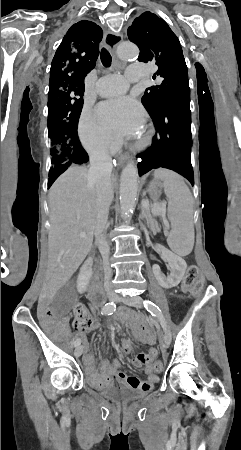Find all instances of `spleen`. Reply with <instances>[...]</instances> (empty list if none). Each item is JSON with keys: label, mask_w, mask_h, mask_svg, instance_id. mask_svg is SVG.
I'll return each mask as SVG.
<instances>
[{"label": "spleen", "mask_w": 241, "mask_h": 450, "mask_svg": "<svg viewBox=\"0 0 241 450\" xmlns=\"http://www.w3.org/2000/svg\"><path fill=\"white\" fill-rule=\"evenodd\" d=\"M155 180H163L164 192L169 198L168 218L172 230L167 244L178 256H188L194 246V228L192 226L193 198L183 178L170 170H155Z\"/></svg>", "instance_id": "obj_1"}]
</instances>
